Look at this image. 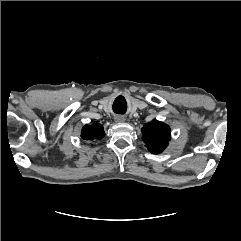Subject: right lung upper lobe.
I'll return each instance as SVG.
<instances>
[{
  "label": "right lung upper lobe",
  "instance_id": "obj_1",
  "mask_svg": "<svg viewBox=\"0 0 241 241\" xmlns=\"http://www.w3.org/2000/svg\"><path fill=\"white\" fill-rule=\"evenodd\" d=\"M104 135L103 127L99 123L85 125L81 131V137L85 140L101 139Z\"/></svg>",
  "mask_w": 241,
  "mask_h": 241
}]
</instances>
